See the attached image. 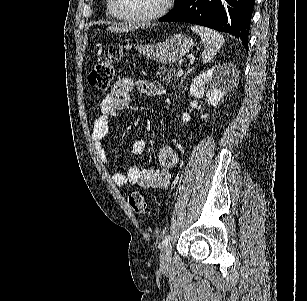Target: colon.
Segmentation results:
<instances>
[{"mask_svg":"<svg viewBox=\"0 0 307 301\" xmlns=\"http://www.w3.org/2000/svg\"><path fill=\"white\" fill-rule=\"evenodd\" d=\"M127 49L126 45L120 44L112 45L108 49L106 56L93 67L88 76V83L92 88L98 91L108 89L114 77L115 63L124 56ZM128 202L135 213L140 215L148 213L147 201L140 192H131Z\"/></svg>","mask_w":307,"mask_h":301,"instance_id":"5ec220e1","label":"colon"}]
</instances>
